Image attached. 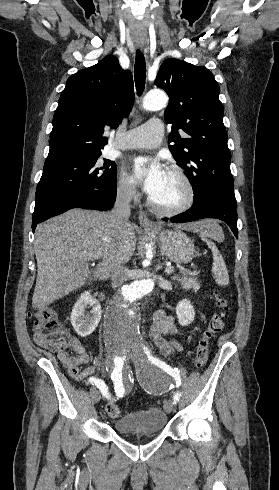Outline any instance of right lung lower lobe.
Wrapping results in <instances>:
<instances>
[{
	"mask_svg": "<svg viewBox=\"0 0 279 490\" xmlns=\"http://www.w3.org/2000/svg\"><path fill=\"white\" fill-rule=\"evenodd\" d=\"M116 199V187L106 190H50L36 196L32 230L37 224L72 208L109 210Z\"/></svg>",
	"mask_w": 279,
	"mask_h": 490,
	"instance_id": "obj_1",
	"label": "right lung lower lobe"
}]
</instances>
